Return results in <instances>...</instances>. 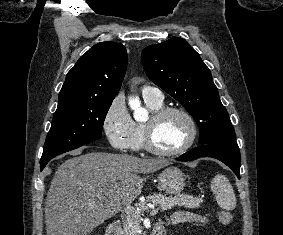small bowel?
<instances>
[{
	"label": "small bowel",
	"mask_w": 283,
	"mask_h": 235,
	"mask_svg": "<svg viewBox=\"0 0 283 235\" xmlns=\"http://www.w3.org/2000/svg\"><path fill=\"white\" fill-rule=\"evenodd\" d=\"M172 224L178 225L188 222L206 223L207 219L202 216L188 211L176 212L171 219Z\"/></svg>",
	"instance_id": "obj_1"
}]
</instances>
